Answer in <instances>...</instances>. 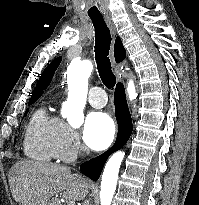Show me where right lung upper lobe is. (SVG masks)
<instances>
[{"mask_svg": "<svg viewBox=\"0 0 199 205\" xmlns=\"http://www.w3.org/2000/svg\"><path fill=\"white\" fill-rule=\"evenodd\" d=\"M114 55L116 62H121L126 57V50L123 47L122 41L119 37H117L115 41ZM61 59V57L56 58L45 68L44 72L42 73L36 84V87L29 101L37 100L43 94V90H45L49 86L54 72L56 71L57 67L61 62Z\"/></svg>", "mask_w": 199, "mask_h": 205, "instance_id": "cb5924a9", "label": "right lung upper lobe"}]
</instances>
